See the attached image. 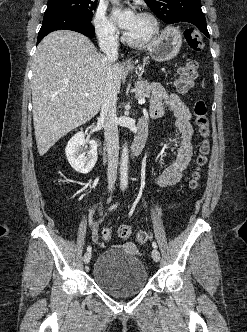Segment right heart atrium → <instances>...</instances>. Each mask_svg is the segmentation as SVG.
I'll return each mask as SVG.
<instances>
[{
  "mask_svg": "<svg viewBox=\"0 0 247 332\" xmlns=\"http://www.w3.org/2000/svg\"><path fill=\"white\" fill-rule=\"evenodd\" d=\"M93 26L99 41L106 45H112L116 42L117 31L113 23L109 20L103 8H98L94 19Z\"/></svg>",
  "mask_w": 247,
  "mask_h": 332,
  "instance_id": "d8ad5b80",
  "label": "right heart atrium"
}]
</instances>
